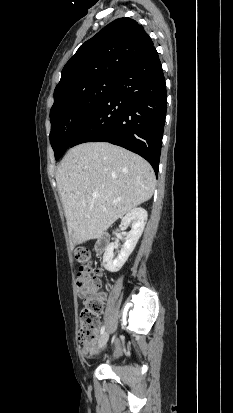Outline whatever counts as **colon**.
Listing matches in <instances>:
<instances>
[{"label": "colon", "mask_w": 233, "mask_h": 413, "mask_svg": "<svg viewBox=\"0 0 233 413\" xmlns=\"http://www.w3.org/2000/svg\"><path fill=\"white\" fill-rule=\"evenodd\" d=\"M75 258L78 263L76 276L78 291L81 296H88L79 318L78 340L84 351L90 353L96 341L99 316L102 311V297L91 295L100 287V273L88 250H78Z\"/></svg>", "instance_id": "colon-1"}]
</instances>
